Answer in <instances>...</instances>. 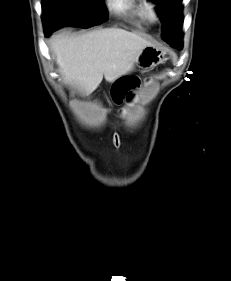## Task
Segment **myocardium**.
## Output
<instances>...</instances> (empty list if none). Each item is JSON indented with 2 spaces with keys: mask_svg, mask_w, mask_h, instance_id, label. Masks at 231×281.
I'll use <instances>...</instances> for the list:
<instances>
[{
  "mask_svg": "<svg viewBox=\"0 0 231 281\" xmlns=\"http://www.w3.org/2000/svg\"><path fill=\"white\" fill-rule=\"evenodd\" d=\"M146 17L151 21H157L159 18L157 5L153 2H146L144 4Z\"/></svg>",
  "mask_w": 231,
  "mask_h": 281,
  "instance_id": "1",
  "label": "myocardium"
}]
</instances>
